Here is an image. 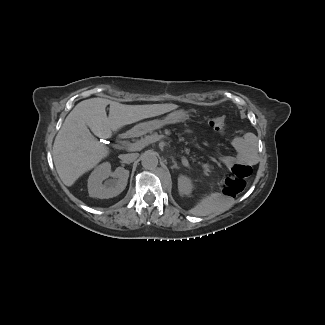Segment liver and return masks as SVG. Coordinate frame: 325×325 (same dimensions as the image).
I'll use <instances>...</instances> for the list:
<instances>
[{"label": "liver", "mask_w": 325, "mask_h": 325, "mask_svg": "<svg viewBox=\"0 0 325 325\" xmlns=\"http://www.w3.org/2000/svg\"><path fill=\"white\" fill-rule=\"evenodd\" d=\"M109 104L107 116L105 109ZM177 108L172 103L125 105L105 98L81 101L68 114L54 141L53 161L60 179L66 186H72L109 154V149L90 130L97 137L108 139L125 125Z\"/></svg>", "instance_id": "1"}]
</instances>
